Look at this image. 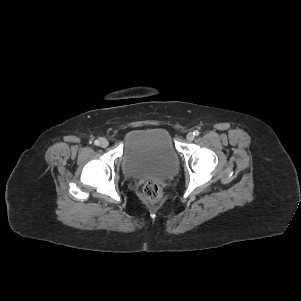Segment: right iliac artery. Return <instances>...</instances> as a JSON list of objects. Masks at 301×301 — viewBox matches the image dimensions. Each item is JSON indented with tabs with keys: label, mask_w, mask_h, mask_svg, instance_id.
<instances>
[{
	"label": "right iliac artery",
	"mask_w": 301,
	"mask_h": 301,
	"mask_svg": "<svg viewBox=\"0 0 301 301\" xmlns=\"http://www.w3.org/2000/svg\"><path fill=\"white\" fill-rule=\"evenodd\" d=\"M94 144H95V145H99V140H95V141H94Z\"/></svg>",
	"instance_id": "1"
}]
</instances>
